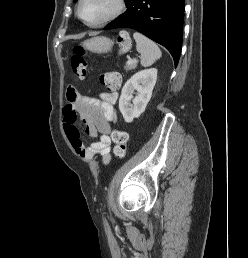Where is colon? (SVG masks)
Masks as SVG:
<instances>
[{
    "instance_id": "colon-1",
    "label": "colon",
    "mask_w": 248,
    "mask_h": 258,
    "mask_svg": "<svg viewBox=\"0 0 248 258\" xmlns=\"http://www.w3.org/2000/svg\"><path fill=\"white\" fill-rule=\"evenodd\" d=\"M117 42L120 47V51L126 52L130 49V40L125 32H120L117 36ZM71 68L75 76L81 80L87 76V62L84 58L83 48L76 47L74 55L71 57ZM104 84L111 91H115L120 86V77L116 72H109L103 76ZM111 138L115 143L114 153L116 157L123 158L126 155V144L128 141V135L124 131L113 130L111 132Z\"/></svg>"
}]
</instances>
